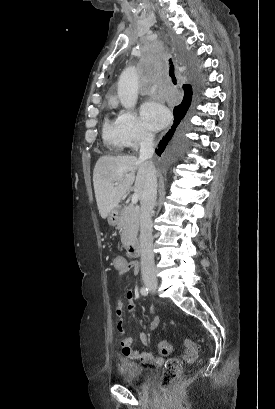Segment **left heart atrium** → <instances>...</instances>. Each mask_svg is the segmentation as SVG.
I'll return each instance as SVG.
<instances>
[{
	"instance_id": "1",
	"label": "left heart atrium",
	"mask_w": 275,
	"mask_h": 409,
	"mask_svg": "<svg viewBox=\"0 0 275 409\" xmlns=\"http://www.w3.org/2000/svg\"><path fill=\"white\" fill-rule=\"evenodd\" d=\"M142 114L151 127L159 130L169 124L171 115L161 102L150 101L143 105Z\"/></svg>"
}]
</instances>
